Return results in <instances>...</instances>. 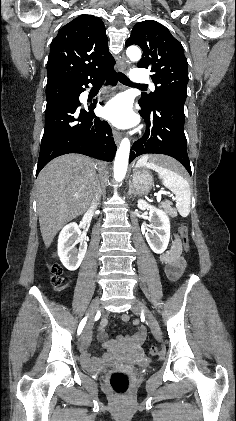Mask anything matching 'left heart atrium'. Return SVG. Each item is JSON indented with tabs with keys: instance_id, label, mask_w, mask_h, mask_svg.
Listing matches in <instances>:
<instances>
[{
	"instance_id": "39dd6f15",
	"label": "left heart atrium",
	"mask_w": 236,
	"mask_h": 421,
	"mask_svg": "<svg viewBox=\"0 0 236 421\" xmlns=\"http://www.w3.org/2000/svg\"><path fill=\"white\" fill-rule=\"evenodd\" d=\"M101 114L112 125L120 128L134 125L137 121L129 102L121 96L109 100L102 108Z\"/></svg>"
}]
</instances>
